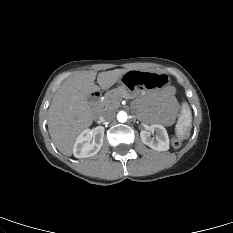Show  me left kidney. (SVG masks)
I'll use <instances>...</instances> for the list:
<instances>
[{
    "label": "left kidney",
    "instance_id": "obj_1",
    "mask_svg": "<svg viewBox=\"0 0 233 233\" xmlns=\"http://www.w3.org/2000/svg\"><path fill=\"white\" fill-rule=\"evenodd\" d=\"M148 130L156 133V139L151 138L147 130H142L140 133L141 140L144 144L156 151H167L169 149V137L166 129L159 124H153L148 127Z\"/></svg>",
    "mask_w": 233,
    "mask_h": 233
}]
</instances>
